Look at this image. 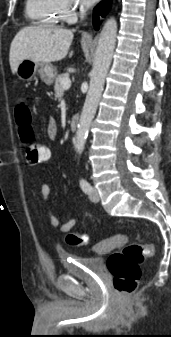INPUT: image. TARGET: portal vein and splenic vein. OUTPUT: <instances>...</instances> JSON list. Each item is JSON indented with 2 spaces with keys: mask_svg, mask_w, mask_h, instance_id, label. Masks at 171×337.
<instances>
[{
  "mask_svg": "<svg viewBox=\"0 0 171 337\" xmlns=\"http://www.w3.org/2000/svg\"><path fill=\"white\" fill-rule=\"evenodd\" d=\"M61 84H62L64 90L69 89L70 86H71V81H70L69 77H65V78L62 80Z\"/></svg>",
  "mask_w": 171,
  "mask_h": 337,
  "instance_id": "obj_1",
  "label": "portal vein and splenic vein"
}]
</instances>
